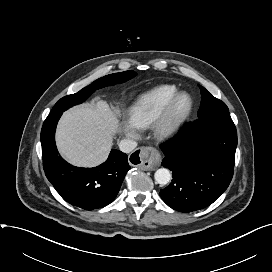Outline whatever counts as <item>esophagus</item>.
Here are the masks:
<instances>
[{
  "label": "esophagus",
  "instance_id": "esophagus-1",
  "mask_svg": "<svg viewBox=\"0 0 272 272\" xmlns=\"http://www.w3.org/2000/svg\"><path fill=\"white\" fill-rule=\"evenodd\" d=\"M160 159L161 155L154 147H142L130 156V161L133 164L140 163L138 167L146 171L153 170L158 165Z\"/></svg>",
  "mask_w": 272,
  "mask_h": 272
}]
</instances>
